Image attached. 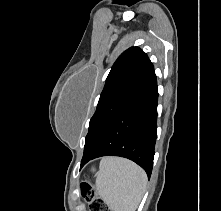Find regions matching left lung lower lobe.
<instances>
[{"mask_svg": "<svg viewBox=\"0 0 221 211\" xmlns=\"http://www.w3.org/2000/svg\"><path fill=\"white\" fill-rule=\"evenodd\" d=\"M157 100V79L153 69L138 94L83 155L81 167L97 157L120 156L140 165L150 178L157 136Z\"/></svg>", "mask_w": 221, "mask_h": 211, "instance_id": "1", "label": "left lung lower lobe"}]
</instances>
